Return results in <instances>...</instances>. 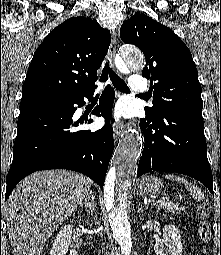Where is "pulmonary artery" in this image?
<instances>
[{"instance_id": "e3ab8cb5", "label": "pulmonary artery", "mask_w": 221, "mask_h": 255, "mask_svg": "<svg viewBox=\"0 0 221 255\" xmlns=\"http://www.w3.org/2000/svg\"><path fill=\"white\" fill-rule=\"evenodd\" d=\"M130 89L138 94H144L148 90V84L144 78L139 74H133L130 77L129 83Z\"/></svg>"}]
</instances>
